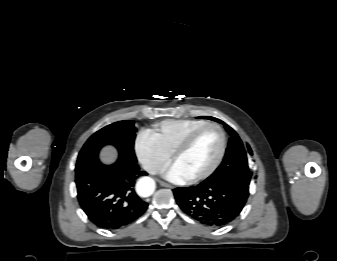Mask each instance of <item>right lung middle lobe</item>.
I'll use <instances>...</instances> for the list:
<instances>
[{
  "mask_svg": "<svg viewBox=\"0 0 337 261\" xmlns=\"http://www.w3.org/2000/svg\"><path fill=\"white\" fill-rule=\"evenodd\" d=\"M136 131L132 120L115 122L100 129L87 140L81 149L75 171L77 172L98 161L100 149L109 144L117 148L119 156H125L136 161L134 153Z\"/></svg>",
  "mask_w": 337,
  "mask_h": 261,
  "instance_id": "1",
  "label": "right lung middle lobe"
}]
</instances>
